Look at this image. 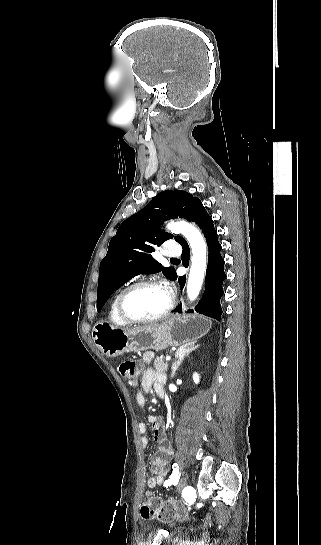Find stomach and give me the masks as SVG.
Returning <instances> with one entry per match:
<instances>
[{
	"label": "stomach",
	"instance_id": "obj_1",
	"mask_svg": "<svg viewBox=\"0 0 321 545\" xmlns=\"http://www.w3.org/2000/svg\"><path fill=\"white\" fill-rule=\"evenodd\" d=\"M211 329V321L201 315H173L161 325L142 327L134 331H123L110 323H96L93 327V341L101 353L117 357L123 353L139 351H163L167 347H184L204 337Z\"/></svg>",
	"mask_w": 321,
	"mask_h": 545
}]
</instances>
